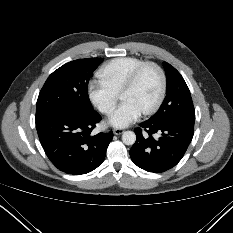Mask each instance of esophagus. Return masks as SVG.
<instances>
[{
    "mask_svg": "<svg viewBox=\"0 0 233 233\" xmlns=\"http://www.w3.org/2000/svg\"><path fill=\"white\" fill-rule=\"evenodd\" d=\"M124 132V129H121V128H115V129H113V133L115 134V135H120V134H122Z\"/></svg>",
    "mask_w": 233,
    "mask_h": 233,
    "instance_id": "esophagus-1",
    "label": "esophagus"
}]
</instances>
